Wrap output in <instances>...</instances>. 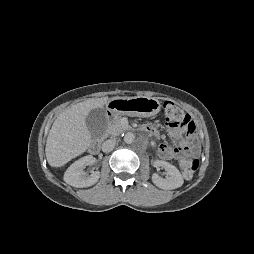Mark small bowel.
<instances>
[{
    "label": "small bowel",
    "instance_id": "1",
    "mask_svg": "<svg viewBox=\"0 0 254 254\" xmlns=\"http://www.w3.org/2000/svg\"><path fill=\"white\" fill-rule=\"evenodd\" d=\"M143 130L149 132L152 135L157 134L156 128L150 123L143 125ZM170 132L174 137H176L178 145L175 148H171L169 145L165 143L161 144L158 148V154L162 159L172 160L185 152H189L190 154L198 153L199 150L198 144L192 137L187 138L181 137L183 133L182 128H171Z\"/></svg>",
    "mask_w": 254,
    "mask_h": 254
}]
</instances>
